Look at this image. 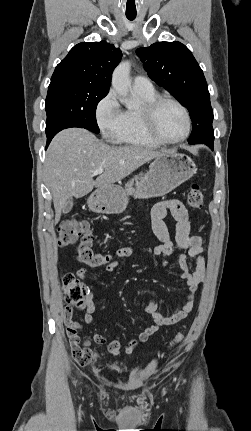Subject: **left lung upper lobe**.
I'll use <instances>...</instances> for the list:
<instances>
[{
    "label": "left lung upper lobe",
    "instance_id": "left-lung-upper-lobe-1",
    "mask_svg": "<svg viewBox=\"0 0 251 431\" xmlns=\"http://www.w3.org/2000/svg\"><path fill=\"white\" fill-rule=\"evenodd\" d=\"M149 77L184 105L192 120L190 144L204 143L213 149V110L202 69L182 43L157 42L136 50Z\"/></svg>",
    "mask_w": 251,
    "mask_h": 431
}]
</instances>
